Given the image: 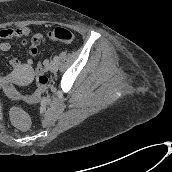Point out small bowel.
<instances>
[{
  "label": "small bowel",
  "mask_w": 172,
  "mask_h": 172,
  "mask_svg": "<svg viewBox=\"0 0 172 172\" xmlns=\"http://www.w3.org/2000/svg\"><path fill=\"white\" fill-rule=\"evenodd\" d=\"M32 35V29L29 27L22 28H2L0 29V51H8L11 48V44L8 40H16L22 43H26V38ZM45 38L42 34H35L31 37L30 46L27 51L29 57H35L38 53V46L45 44ZM31 59H28L25 66H30ZM11 67L20 71L21 62L18 58H11L9 60ZM1 79V78H0Z\"/></svg>",
  "instance_id": "c3829d8e"
}]
</instances>
